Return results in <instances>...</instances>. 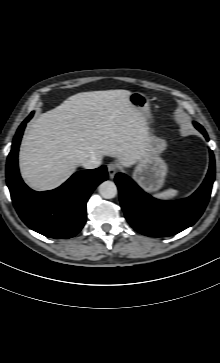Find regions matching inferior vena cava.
Wrapping results in <instances>:
<instances>
[{
    "label": "inferior vena cava",
    "instance_id": "1",
    "mask_svg": "<svg viewBox=\"0 0 220 363\" xmlns=\"http://www.w3.org/2000/svg\"><path fill=\"white\" fill-rule=\"evenodd\" d=\"M101 164V159H97V158H90L87 161L82 163V166L85 169H95L98 168Z\"/></svg>",
    "mask_w": 220,
    "mask_h": 363
}]
</instances>
